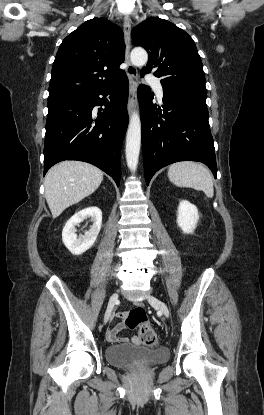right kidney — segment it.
I'll return each instance as SVG.
<instances>
[{"label": "right kidney", "instance_id": "ca27d5eb", "mask_svg": "<svg viewBox=\"0 0 264 415\" xmlns=\"http://www.w3.org/2000/svg\"><path fill=\"white\" fill-rule=\"evenodd\" d=\"M90 218L92 226L84 235L77 236L75 226L84 219ZM102 225V212L98 207H88L74 214L65 224L62 240L74 255H80L93 246Z\"/></svg>", "mask_w": 264, "mask_h": 415}]
</instances>
